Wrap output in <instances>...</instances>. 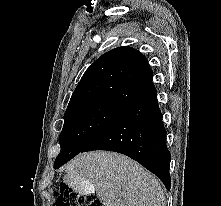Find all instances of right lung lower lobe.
<instances>
[{"label":"right lung lower lobe","mask_w":221,"mask_h":206,"mask_svg":"<svg viewBox=\"0 0 221 206\" xmlns=\"http://www.w3.org/2000/svg\"><path fill=\"white\" fill-rule=\"evenodd\" d=\"M156 97L154 88L126 107L81 152L107 150L125 154L158 176L170 190L171 155Z\"/></svg>","instance_id":"obj_1"}]
</instances>
